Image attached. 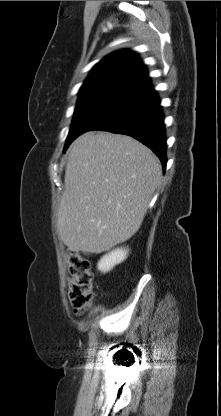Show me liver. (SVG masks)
Here are the masks:
<instances>
[{"instance_id":"liver-1","label":"liver","mask_w":221,"mask_h":416,"mask_svg":"<svg viewBox=\"0 0 221 416\" xmlns=\"http://www.w3.org/2000/svg\"><path fill=\"white\" fill-rule=\"evenodd\" d=\"M157 156L136 139L87 132L71 146L57 231L71 251L99 254L140 228L160 183Z\"/></svg>"}]
</instances>
